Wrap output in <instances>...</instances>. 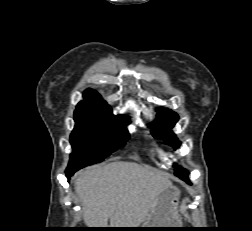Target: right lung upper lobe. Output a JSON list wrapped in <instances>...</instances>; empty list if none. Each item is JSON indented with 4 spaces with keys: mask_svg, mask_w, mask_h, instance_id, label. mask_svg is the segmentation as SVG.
I'll return each instance as SVG.
<instances>
[{
    "mask_svg": "<svg viewBox=\"0 0 252 231\" xmlns=\"http://www.w3.org/2000/svg\"><path fill=\"white\" fill-rule=\"evenodd\" d=\"M75 113H95L113 115L111 107L92 89H87L84 93V100L78 103ZM116 117L124 118L121 115Z\"/></svg>",
    "mask_w": 252,
    "mask_h": 231,
    "instance_id": "obj_1",
    "label": "right lung upper lobe"
}]
</instances>
